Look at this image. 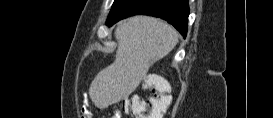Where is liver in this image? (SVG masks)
Masks as SVG:
<instances>
[{
  "instance_id": "liver-1",
  "label": "liver",
  "mask_w": 273,
  "mask_h": 118,
  "mask_svg": "<svg viewBox=\"0 0 273 118\" xmlns=\"http://www.w3.org/2000/svg\"><path fill=\"white\" fill-rule=\"evenodd\" d=\"M115 38V61L96 75L89 88L92 102L100 108L128 97L146 77L150 66L175 47L178 32L160 19L140 15L121 22Z\"/></svg>"
}]
</instances>
